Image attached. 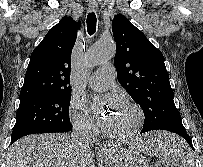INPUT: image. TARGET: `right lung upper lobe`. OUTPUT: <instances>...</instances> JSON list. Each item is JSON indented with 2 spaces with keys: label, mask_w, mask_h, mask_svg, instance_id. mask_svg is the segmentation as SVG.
Returning a JSON list of instances; mask_svg holds the SVG:
<instances>
[{
  "label": "right lung upper lobe",
  "mask_w": 203,
  "mask_h": 167,
  "mask_svg": "<svg viewBox=\"0 0 203 167\" xmlns=\"http://www.w3.org/2000/svg\"><path fill=\"white\" fill-rule=\"evenodd\" d=\"M79 27V23L65 16L48 31L31 54L20 101L71 91V53Z\"/></svg>",
  "instance_id": "obj_1"
}]
</instances>
